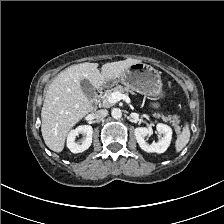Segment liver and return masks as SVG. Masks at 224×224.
I'll list each match as a JSON object with an SVG mask.
<instances>
[{"instance_id":"obj_1","label":"liver","mask_w":224,"mask_h":224,"mask_svg":"<svg viewBox=\"0 0 224 224\" xmlns=\"http://www.w3.org/2000/svg\"><path fill=\"white\" fill-rule=\"evenodd\" d=\"M138 62L141 61L128 58L106 63L101 72L97 63L85 62L60 72L48 86L41 110V132L47 147L61 152L68 132L91 111L90 101L80 86L81 80L87 79L93 87L99 88Z\"/></svg>"}]
</instances>
